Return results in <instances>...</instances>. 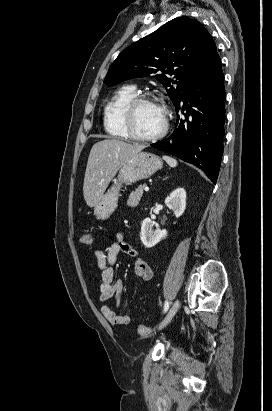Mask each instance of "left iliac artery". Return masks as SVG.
<instances>
[{"label":"left iliac artery","mask_w":272,"mask_h":411,"mask_svg":"<svg viewBox=\"0 0 272 411\" xmlns=\"http://www.w3.org/2000/svg\"><path fill=\"white\" fill-rule=\"evenodd\" d=\"M168 309H169V302L165 301V303H164V313L167 312Z\"/></svg>","instance_id":"left-iliac-artery-1"}]
</instances>
